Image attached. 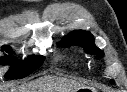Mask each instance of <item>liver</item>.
Here are the masks:
<instances>
[{
  "mask_svg": "<svg viewBox=\"0 0 127 92\" xmlns=\"http://www.w3.org/2000/svg\"><path fill=\"white\" fill-rule=\"evenodd\" d=\"M82 87L83 84L75 79L47 76L14 88L11 92H76Z\"/></svg>",
  "mask_w": 127,
  "mask_h": 92,
  "instance_id": "obj_1",
  "label": "liver"
}]
</instances>
